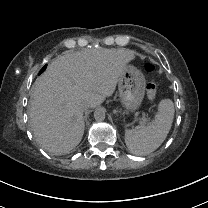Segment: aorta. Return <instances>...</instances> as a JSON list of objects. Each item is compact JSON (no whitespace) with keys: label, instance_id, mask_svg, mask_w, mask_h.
Masks as SVG:
<instances>
[{"label":"aorta","instance_id":"obj_1","mask_svg":"<svg viewBox=\"0 0 208 208\" xmlns=\"http://www.w3.org/2000/svg\"><path fill=\"white\" fill-rule=\"evenodd\" d=\"M106 117L105 111L102 109H98L94 113V118L96 121H103Z\"/></svg>","mask_w":208,"mask_h":208}]
</instances>
